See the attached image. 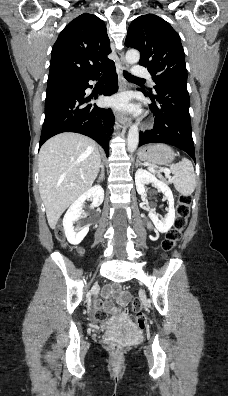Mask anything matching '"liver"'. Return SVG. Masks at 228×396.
Returning a JSON list of instances; mask_svg holds the SVG:
<instances>
[{
  "label": "liver",
  "mask_w": 228,
  "mask_h": 396,
  "mask_svg": "<svg viewBox=\"0 0 228 396\" xmlns=\"http://www.w3.org/2000/svg\"><path fill=\"white\" fill-rule=\"evenodd\" d=\"M39 192L50 228L96 179L101 167L98 145L77 133H61L47 140L39 152Z\"/></svg>",
  "instance_id": "liver-1"
}]
</instances>
